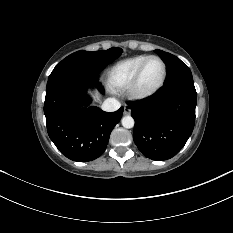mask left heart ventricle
<instances>
[{
	"mask_svg": "<svg viewBox=\"0 0 233 233\" xmlns=\"http://www.w3.org/2000/svg\"><path fill=\"white\" fill-rule=\"evenodd\" d=\"M163 66L157 59H151L145 66L142 73L139 89L147 91L154 88L161 80Z\"/></svg>",
	"mask_w": 233,
	"mask_h": 233,
	"instance_id": "obj_1",
	"label": "left heart ventricle"
}]
</instances>
